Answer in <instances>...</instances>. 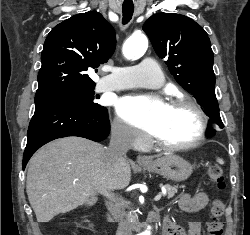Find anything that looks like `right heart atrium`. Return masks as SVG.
Here are the masks:
<instances>
[{"label":"right heart atrium","instance_id":"right-heart-atrium-1","mask_svg":"<svg viewBox=\"0 0 250 235\" xmlns=\"http://www.w3.org/2000/svg\"><path fill=\"white\" fill-rule=\"evenodd\" d=\"M113 138L127 147H142L147 143V137L119 117L111 123Z\"/></svg>","mask_w":250,"mask_h":235}]
</instances>
